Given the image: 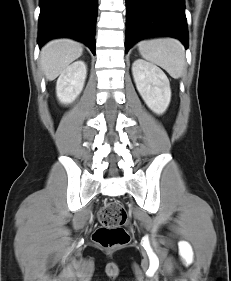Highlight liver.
<instances>
[{"mask_svg":"<svg viewBox=\"0 0 231 281\" xmlns=\"http://www.w3.org/2000/svg\"><path fill=\"white\" fill-rule=\"evenodd\" d=\"M82 53V45L71 39L49 41L40 54L41 68L46 78L49 81L57 78Z\"/></svg>","mask_w":231,"mask_h":281,"instance_id":"obj_1","label":"liver"}]
</instances>
